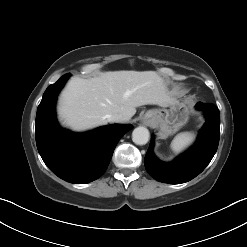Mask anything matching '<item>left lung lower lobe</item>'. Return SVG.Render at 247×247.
<instances>
[{
  "label": "left lung lower lobe",
  "instance_id": "0a47b994",
  "mask_svg": "<svg viewBox=\"0 0 247 247\" xmlns=\"http://www.w3.org/2000/svg\"><path fill=\"white\" fill-rule=\"evenodd\" d=\"M196 109L203 110L206 123L195 145L174 161L164 163L153 154L154 136L145 156V168L157 181L181 184L199 175L210 163L217 151L220 136V112L210 103H197Z\"/></svg>",
  "mask_w": 247,
  "mask_h": 247
}]
</instances>
